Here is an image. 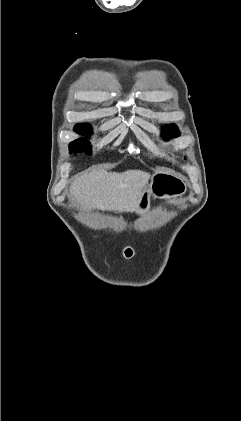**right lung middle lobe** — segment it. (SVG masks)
<instances>
[{
    "label": "right lung middle lobe",
    "instance_id": "1",
    "mask_svg": "<svg viewBox=\"0 0 241 421\" xmlns=\"http://www.w3.org/2000/svg\"><path fill=\"white\" fill-rule=\"evenodd\" d=\"M90 126H86V127H75L74 131L82 134V135H89L91 133L90 130ZM70 147V152L72 153H78V152H82L85 151L90 154L91 153V149H90V144L86 139H77L73 142L70 143L69 145Z\"/></svg>",
    "mask_w": 241,
    "mask_h": 421
}]
</instances>
